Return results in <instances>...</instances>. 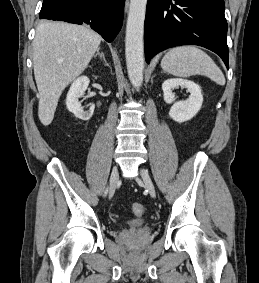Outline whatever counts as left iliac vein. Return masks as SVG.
<instances>
[{
  "label": "left iliac vein",
  "mask_w": 259,
  "mask_h": 283,
  "mask_svg": "<svg viewBox=\"0 0 259 283\" xmlns=\"http://www.w3.org/2000/svg\"><path fill=\"white\" fill-rule=\"evenodd\" d=\"M140 173H141V177H142V179L144 181V184H145L147 190L149 191V194L153 198H155L156 197V191H155L154 185L152 183V180H151L148 172L145 169H141Z\"/></svg>",
  "instance_id": "left-iliac-vein-1"
}]
</instances>
